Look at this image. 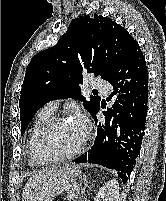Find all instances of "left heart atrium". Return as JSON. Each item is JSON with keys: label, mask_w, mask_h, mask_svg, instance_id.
<instances>
[{"label": "left heart atrium", "mask_w": 166, "mask_h": 201, "mask_svg": "<svg viewBox=\"0 0 166 201\" xmlns=\"http://www.w3.org/2000/svg\"><path fill=\"white\" fill-rule=\"evenodd\" d=\"M73 123L79 130L82 139L85 140L90 129L89 120L86 115L83 113H76L73 117Z\"/></svg>", "instance_id": "obj_1"}]
</instances>
